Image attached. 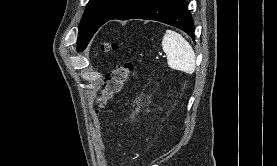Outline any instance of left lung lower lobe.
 Masks as SVG:
<instances>
[{
    "label": "left lung lower lobe",
    "instance_id": "obj_1",
    "mask_svg": "<svg viewBox=\"0 0 277 166\" xmlns=\"http://www.w3.org/2000/svg\"><path fill=\"white\" fill-rule=\"evenodd\" d=\"M133 18L160 21L175 26L195 38L194 22L185 0H134L109 20Z\"/></svg>",
    "mask_w": 277,
    "mask_h": 166
}]
</instances>
